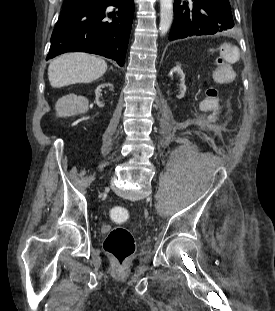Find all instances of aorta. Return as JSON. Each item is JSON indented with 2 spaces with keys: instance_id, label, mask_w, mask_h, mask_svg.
I'll return each mask as SVG.
<instances>
[{
  "instance_id": "aorta-1",
  "label": "aorta",
  "mask_w": 275,
  "mask_h": 311,
  "mask_svg": "<svg viewBox=\"0 0 275 311\" xmlns=\"http://www.w3.org/2000/svg\"><path fill=\"white\" fill-rule=\"evenodd\" d=\"M173 20V0H160V25L161 35H165Z\"/></svg>"
}]
</instances>
